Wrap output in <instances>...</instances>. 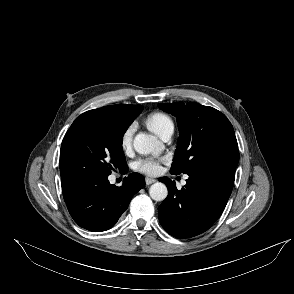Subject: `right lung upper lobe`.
I'll return each instance as SVG.
<instances>
[{"label": "right lung upper lobe", "instance_id": "obj_1", "mask_svg": "<svg viewBox=\"0 0 294 294\" xmlns=\"http://www.w3.org/2000/svg\"><path fill=\"white\" fill-rule=\"evenodd\" d=\"M141 111H142L141 105L117 104V105L104 106L99 109L90 110L83 113L82 115H85L88 112H100V113L113 116L124 123H132L134 119L141 113Z\"/></svg>", "mask_w": 294, "mask_h": 294}]
</instances>
